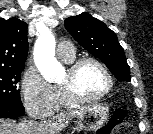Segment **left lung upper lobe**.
<instances>
[{
  "label": "left lung upper lobe",
  "mask_w": 153,
  "mask_h": 134,
  "mask_svg": "<svg viewBox=\"0 0 153 134\" xmlns=\"http://www.w3.org/2000/svg\"><path fill=\"white\" fill-rule=\"evenodd\" d=\"M65 28L72 37L95 57L102 60L120 81L129 82L130 69L116 34L102 21L88 13L65 19Z\"/></svg>",
  "instance_id": "obj_1"
}]
</instances>
